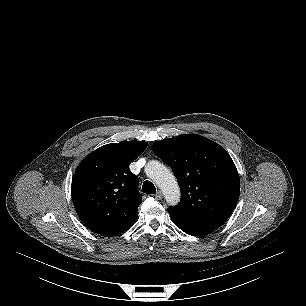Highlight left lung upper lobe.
<instances>
[{"label": "left lung upper lobe", "mask_w": 306, "mask_h": 306, "mask_svg": "<svg viewBox=\"0 0 306 306\" xmlns=\"http://www.w3.org/2000/svg\"><path fill=\"white\" fill-rule=\"evenodd\" d=\"M172 167L181 201L168 212L198 226L220 227L234 210L240 193L237 168L217 143L200 135H181L152 145Z\"/></svg>", "instance_id": "1"}]
</instances>
